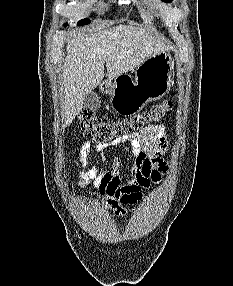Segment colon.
<instances>
[{
  "mask_svg": "<svg viewBox=\"0 0 233 286\" xmlns=\"http://www.w3.org/2000/svg\"><path fill=\"white\" fill-rule=\"evenodd\" d=\"M172 106V100H164L142 114L118 120H106L90 109H83L78 117L80 129L90 139L112 143L140 133L146 124L161 120Z\"/></svg>",
  "mask_w": 233,
  "mask_h": 286,
  "instance_id": "1",
  "label": "colon"
}]
</instances>
